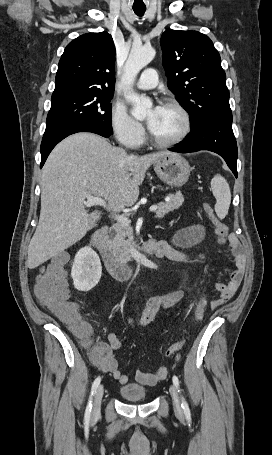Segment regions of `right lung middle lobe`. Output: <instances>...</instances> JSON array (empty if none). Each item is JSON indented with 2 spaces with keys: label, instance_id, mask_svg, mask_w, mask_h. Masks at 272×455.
<instances>
[{
  "label": "right lung middle lobe",
  "instance_id": "1",
  "mask_svg": "<svg viewBox=\"0 0 272 455\" xmlns=\"http://www.w3.org/2000/svg\"><path fill=\"white\" fill-rule=\"evenodd\" d=\"M110 95L74 96L51 101L46 128L63 124L94 123L112 131V104Z\"/></svg>",
  "mask_w": 272,
  "mask_h": 455
}]
</instances>
